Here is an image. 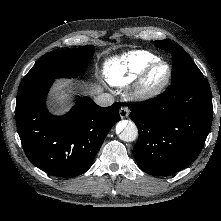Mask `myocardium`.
<instances>
[{"instance_id":"obj_1","label":"myocardium","mask_w":221,"mask_h":221,"mask_svg":"<svg viewBox=\"0 0 221 221\" xmlns=\"http://www.w3.org/2000/svg\"><path fill=\"white\" fill-rule=\"evenodd\" d=\"M159 66H164L166 68L165 76L161 81L152 83L150 81V76ZM171 76L172 69L166 61L160 59L154 61L148 65L137 78L131 92L133 99L141 102H147L157 98L169 85Z\"/></svg>"}]
</instances>
